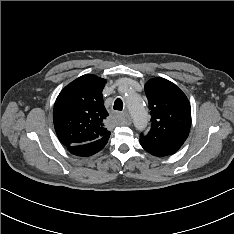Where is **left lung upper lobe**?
Instances as JSON below:
<instances>
[{
	"mask_svg": "<svg viewBox=\"0 0 234 234\" xmlns=\"http://www.w3.org/2000/svg\"><path fill=\"white\" fill-rule=\"evenodd\" d=\"M145 93L152 122L145 136L168 139L182 146L191 126V106L186 95L174 83L160 77L145 84Z\"/></svg>",
	"mask_w": 234,
	"mask_h": 234,
	"instance_id": "1",
	"label": "left lung upper lobe"
}]
</instances>
